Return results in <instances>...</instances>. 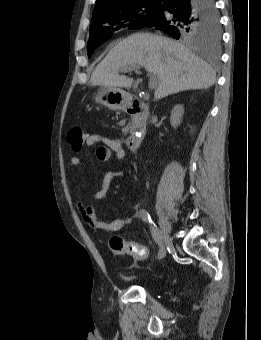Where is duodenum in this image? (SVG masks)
<instances>
[{"instance_id": "1", "label": "duodenum", "mask_w": 261, "mask_h": 340, "mask_svg": "<svg viewBox=\"0 0 261 340\" xmlns=\"http://www.w3.org/2000/svg\"><path fill=\"white\" fill-rule=\"evenodd\" d=\"M126 112L132 116L131 130L126 138V145L131 150H137L146 132L147 105L141 99L134 98L127 102Z\"/></svg>"}]
</instances>
